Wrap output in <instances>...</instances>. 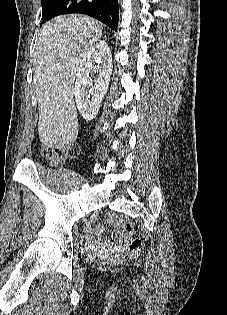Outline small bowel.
<instances>
[{"instance_id":"obj_1","label":"small bowel","mask_w":227,"mask_h":315,"mask_svg":"<svg viewBox=\"0 0 227 315\" xmlns=\"http://www.w3.org/2000/svg\"><path fill=\"white\" fill-rule=\"evenodd\" d=\"M104 229L102 227H99L96 230L97 235H101L103 234ZM121 241H112V242H108V243H102L101 246L106 249V250H110V251H117V249L120 247Z\"/></svg>"}]
</instances>
